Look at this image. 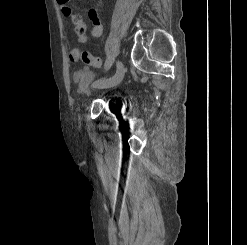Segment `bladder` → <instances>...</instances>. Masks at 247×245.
<instances>
[{
    "instance_id": "obj_1",
    "label": "bladder",
    "mask_w": 247,
    "mask_h": 245,
    "mask_svg": "<svg viewBox=\"0 0 247 245\" xmlns=\"http://www.w3.org/2000/svg\"><path fill=\"white\" fill-rule=\"evenodd\" d=\"M93 77V73L87 69L80 70L75 75L79 85V91L85 97L92 94Z\"/></svg>"
}]
</instances>
